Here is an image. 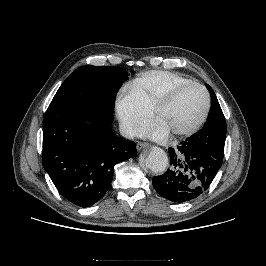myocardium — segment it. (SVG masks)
Listing matches in <instances>:
<instances>
[{
    "mask_svg": "<svg viewBox=\"0 0 266 266\" xmlns=\"http://www.w3.org/2000/svg\"><path fill=\"white\" fill-rule=\"evenodd\" d=\"M191 87H196L199 88L205 96L206 104H205V109L201 117L190 127H187L185 129L173 132L172 135L175 137H180V136H188L191 135L195 132H197L202 125L206 122L210 110H211V96L207 88L197 82H188V83H183L178 86H175L172 88L170 91H168L155 105L153 108V117L156 118L157 115L168 105H170L178 96L180 93H182L184 90L191 88Z\"/></svg>",
    "mask_w": 266,
    "mask_h": 266,
    "instance_id": "obj_1",
    "label": "myocardium"
}]
</instances>
